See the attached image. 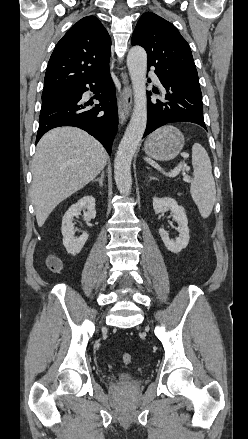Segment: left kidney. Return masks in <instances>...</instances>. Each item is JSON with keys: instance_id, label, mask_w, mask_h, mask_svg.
<instances>
[{"instance_id": "left-kidney-1", "label": "left kidney", "mask_w": 248, "mask_h": 439, "mask_svg": "<svg viewBox=\"0 0 248 439\" xmlns=\"http://www.w3.org/2000/svg\"><path fill=\"white\" fill-rule=\"evenodd\" d=\"M153 209L156 214L166 212L168 210L173 214V219L177 222L179 232V237L175 240L169 238L168 233L163 229H159L160 237L165 245V247L173 252L179 253L182 249L186 248L189 242V228L188 219L185 210L182 206H179L176 200L170 197H154L153 198Z\"/></svg>"}]
</instances>
